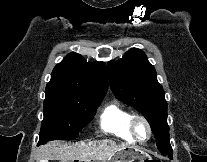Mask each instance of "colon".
<instances>
[{
  "label": "colon",
  "instance_id": "1",
  "mask_svg": "<svg viewBox=\"0 0 207 162\" xmlns=\"http://www.w3.org/2000/svg\"><path fill=\"white\" fill-rule=\"evenodd\" d=\"M74 162H79V161H74ZM145 162H163L161 160H146Z\"/></svg>",
  "mask_w": 207,
  "mask_h": 162
}]
</instances>
